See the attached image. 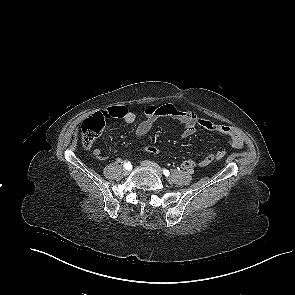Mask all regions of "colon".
Listing matches in <instances>:
<instances>
[{"label": "colon", "mask_w": 295, "mask_h": 295, "mask_svg": "<svg viewBox=\"0 0 295 295\" xmlns=\"http://www.w3.org/2000/svg\"><path fill=\"white\" fill-rule=\"evenodd\" d=\"M104 127V118L100 114H96L86 119L82 124V141L86 148H90ZM151 155L157 156L159 151L155 147L146 149ZM225 156V152L218 155L220 159Z\"/></svg>", "instance_id": "colon-1"}]
</instances>
